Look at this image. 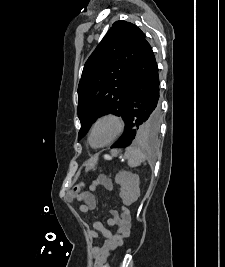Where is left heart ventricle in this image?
I'll use <instances>...</instances> for the list:
<instances>
[{
  "label": "left heart ventricle",
  "instance_id": "b2bd125f",
  "mask_svg": "<svg viewBox=\"0 0 225 267\" xmlns=\"http://www.w3.org/2000/svg\"><path fill=\"white\" fill-rule=\"evenodd\" d=\"M117 124L114 120L106 119L99 122L92 132L91 142L95 146H99L107 142L115 134Z\"/></svg>",
  "mask_w": 225,
  "mask_h": 267
}]
</instances>
